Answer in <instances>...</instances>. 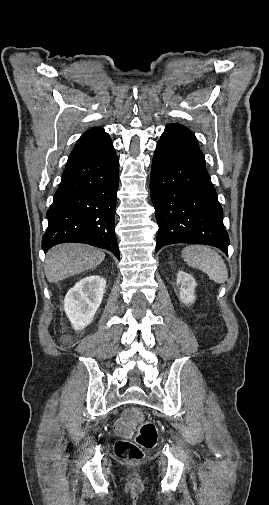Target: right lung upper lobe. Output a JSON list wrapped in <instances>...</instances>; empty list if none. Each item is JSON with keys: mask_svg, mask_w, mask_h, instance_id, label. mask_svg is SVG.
Instances as JSON below:
<instances>
[{"mask_svg": "<svg viewBox=\"0 0 269 505\" xmlns=\"http://www.w3.org/2000/svg\"><path fill=\"white\" fill-rule=\"evenodd\" d=\"M111 142L109 135L102 128L86 131L77 141L68 160L81 158L94 153Z\"/></svg>", "mask_w": 269, "mask_h": 505, "instance_id": "right-lung-upper-lobe-1", "label": "right lung upper lobe"}]
</instances>
